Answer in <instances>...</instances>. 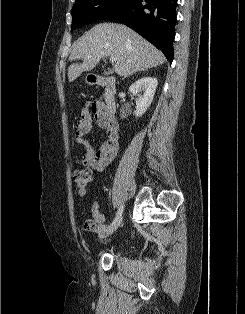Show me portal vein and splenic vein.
<instances>
[{
  "label": "portal vein and splenic vein",
  "instance_id": "portal-vein-and-splenic-vein-1",
  "mask_svg": "<svg viewBox=\"0 0 245 314\" xmlns=\"http://www.w3.org/2000/svg\"><path fill=\"white\" fill-rule=\"evenodd\" d=\"M109 60H110L112 63H114V62L117 61V57L111 56Z\"/></svg>",
  "mask_w": 245,
  "mask_h": 314
}]
</instances>
